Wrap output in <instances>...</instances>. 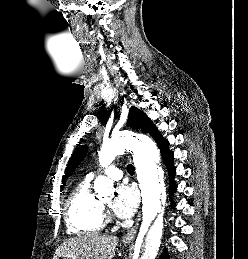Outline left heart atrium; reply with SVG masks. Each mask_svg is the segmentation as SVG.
<instances>
[{
	"instance_id": "1",
	"label": "left heart atrium",
	"mask_w": 248,
	"mask_h": 259,
	"mask_svg": "<svg viewBox=\"0 0 248 259\" xmlns=\"http://www.w3.org/2000/svg\"><path fill=\"white\" fill-rule=\"evenodd\" d=\"M138 202L139 196L136 189L126 184H120L116 189L112 207L118 216L129 218L135 213Z\"/></svg>"
}]
</instances>
